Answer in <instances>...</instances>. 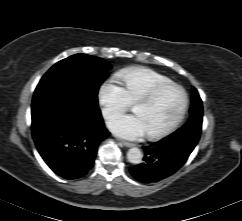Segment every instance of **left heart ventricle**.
<instances>
[{"label": "left heart ventricle", "mask_w": 242, "mask_h": 221, "mask_svg": "<svg viewBox=\"0 0 242 221\" xmlns=\"http://www.w3.org/2000/svg\"><path fill=\"white\" fill-rule=\"evenodd\" d=\"M182 102L181 92L170 87L163 90L153 102L136 105L133 112L143 121L147 134L154 133L165 129L176 119Z\"/></svg>", "instance_id": "left-heart-ventricle-1"}]
</instances>
